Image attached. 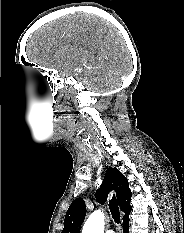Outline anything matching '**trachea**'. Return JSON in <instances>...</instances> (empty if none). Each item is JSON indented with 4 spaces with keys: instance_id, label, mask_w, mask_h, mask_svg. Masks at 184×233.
Masks as SVG:
<instances>
[{
    "instance_id": "3493384b",
    "label": "trachea",
    "mask_w": 184,
    "mask_h": 233,
    "mask_svg": "<svg viewBox=\"0 0 184 233\" xmlns=\"http://www.w3.org/2000/svg\"><path fill=\"white\" fill-rule=\"evenodd\" d=\"M109 209L112 215L113 220L119 224L120 223V210L115 196L109 200Z\"/></svg>"
}]
</instances>
